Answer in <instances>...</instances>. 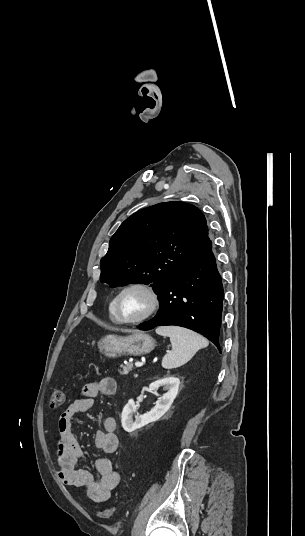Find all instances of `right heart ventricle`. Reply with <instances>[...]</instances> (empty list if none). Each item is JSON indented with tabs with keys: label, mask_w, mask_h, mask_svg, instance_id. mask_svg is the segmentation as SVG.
<instances>
[{
	"label": "right heart ventricle",
	"mask_w": 305,
	"mask_h": 536,
	"mask_svg": "<svg viewBox=\"0 0 305 536\" xmlns=\"http://www.w3.org/2000/svg\"><path fill=\"white\" fill-rule=\"evenodd\" d=\"M108 316H109V320L113 324H118L113 314V299L111 300L109 307H108Z\"/></svg>",
	"instance_id": "right-heart-ventricle-1"
}]
</instances>
